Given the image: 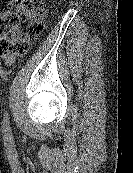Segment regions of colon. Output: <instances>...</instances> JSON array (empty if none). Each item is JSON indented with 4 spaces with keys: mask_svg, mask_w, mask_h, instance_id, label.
Returning a JSON list of instances; mask_svg holds the SVG:
<instances>
[{
    "mask_svg": "<svg viewBox=\"0 0 133 173\" xmlns=\"http://www.w3.org/2000/svg\"><path fill=\"white\" fill-rule=\"evenodd\" d=\"M44 17L40 0H0V56L7 64L28 51L43 31Z\"/></svg>",
    "mask_w": 133,
    "mask_h": 173,
    "instance_id": "obj_1",
    "label": "colon"
}]
</instances>
